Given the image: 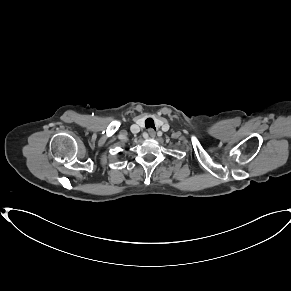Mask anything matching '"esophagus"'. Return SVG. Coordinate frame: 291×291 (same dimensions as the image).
I'll list each match as a JSON object with an SVG mask.
<instances>
[{"mask_svg": "<svg viewBox=\"0 0 291 291\" xmlns=\"http://www.w3.org/2000/svg\"><path fill=\"white\" fill-rule=\"evenodd\" d=\"M148 134L151 138H154L156 135V132L152 128H150L148 129Z\"/></svg>", "mask_w": 291, "mask_h": 291, "instance_id": "esophagus-1", "label": "esophagus"}]
</instances>
